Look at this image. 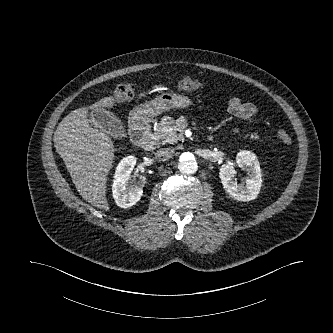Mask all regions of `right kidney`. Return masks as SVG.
Returning a JSON list of instances; mask_svg holds the SVG:
<instances>
[{
    "label": "right kidney",
    "mask_w": 333,
    "mask_h": 333,
    "mask_svg": "<svg viewBox=\"0 0 333 333\" xmlns=\"http://www.w3.org/2000/svg\"><path fill=\"white\" fill-rule=\"evenodd\" d=\"M136 165V158L128 156L118 164L113 185L112 193L116 204L121 208H128L136 204L142 197L143 186L146 183L144 176L139 177L137 185H131V171Z\"/></svg>",
    "instance_id": "ca27d5eb"
}]
</instances>
